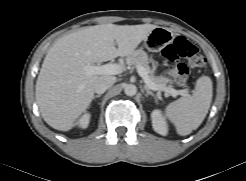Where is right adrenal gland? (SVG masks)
<instances>
[{
  "label": "right adrenal gland",
  "mask_w": 246,
  "mask_h": 181,
  "mask_svg": "<svg viewBox=\"0 0 246 181\" xmlns=\"http://www.w3.org/2000/svg\"><path fill=\"white\" fill-rule=\"evenodd\" d=\"M101 97V94L93 96V99Z\"/></svg>",
  "instance_id": "2a0ac1e0"
}]
</instances>
